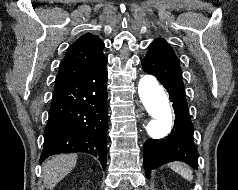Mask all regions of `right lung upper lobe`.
<instances>
[{
  "mask_svg": "<svg viewBox=\"0 0 238 190\" xmlns=\"http://www.w3.org/2000/svg\"><path fill=\"white\" fill-rule=\"evenodd\" d=\"M104 43L98 36L87 33L70 45L59 66L55 88L69 83L94 70L106 61Z\"/></svg>",
  "mask_w": 238,
  "mask_h": 190,
  "instance_id": "right-lung-upper-lobe-1",
  "label": "right lung upper lobe"
}]
</instances>
